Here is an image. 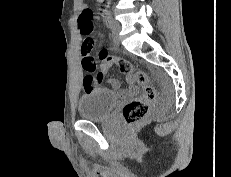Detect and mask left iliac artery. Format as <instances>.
Returning a JSON list of instances; mask_svg holds the SVG:
<instances>
[{
    "label": "left iliac artery",
    "instance_id": "obj_1",
    "mask_svg": "<svg viewBox=\"0 0 231 177\" xmlns=\"http://www.w3.org/2000/svg\"><path fill=\"white\" fill-rule=\"evenodd\" d=\"M103 17H104V21H105L106 25L109 27L110 24H111L112 18H111V13H110V11L108 9H106L104 11V16Z\"/></svg>",
    "mask_w": 231,
    "mask_h": 177
}]
</instances>
